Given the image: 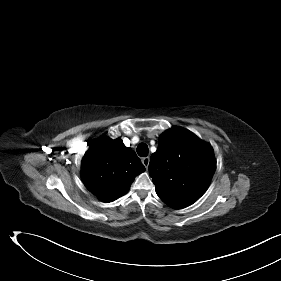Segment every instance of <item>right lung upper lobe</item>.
Here are the masks:
<instances>
[{
	"instance_id": "obj_1",
	"label": "right lung upper lobe",
	"mask_w": 281,
	"mask_h": 281,
	"mask_svg": "<svg viewBox=\"0 0 281 281\" xmlns=\"http://www.w3.org/2000/svg\"><path fill=\"white\" fill-rule=\"evenodd\" d=\"M144 171L136 153L121 139L105 137L92 143L84 155L81 176L88 190L102 201L112 202L124 195Z\"/></svg>"
}]
</instances>
